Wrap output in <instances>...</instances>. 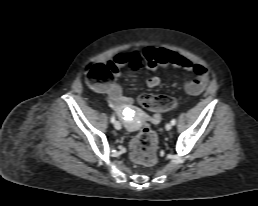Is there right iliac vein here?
<instances>
[{
	"label": "right iliac vein",
	"instance_id": "obj_1",
	"mask_svg": "<svg viewBox=\"0 0 258 206\" xmlns=\"http://www.w3.org/2000/svg\"><path fill=\"white\" fill-rule=\"evenodd\" d=\"M114 127H115V129L120 130L121 129V123L119 121H116L114 123Z\"/></svg>",
	"mask_w": 258,
	"mask_h": 206
}]
</instances>
